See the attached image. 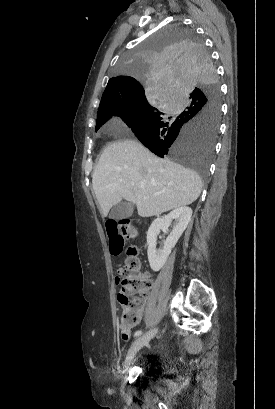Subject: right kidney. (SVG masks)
<instances>
[{"label":"right kidney","mask_w":275,"mask_h":409,"mask_svg":"<svg viewBox=\"0 0 275 409\" xmlns=\"http://www.w3.org/2000/svg\"><path fill=\"white\" fill-rule=\"evenodd\" d=\"M191 217L192 209H190V207H179V209L171 211L169 215H165V217H160V219L153 221L147 231L148 261L152 271L157 273V271H160V269L164 267L172 249H174L178 239H180L189 221H191ZM173 219H175L176 225L173 227V231H171L170 235H168L164 243V249L158 251V249H156V241L160 229H167Z\"/></svg>","instance_id":"right-kidney-1"}]
</instances>
